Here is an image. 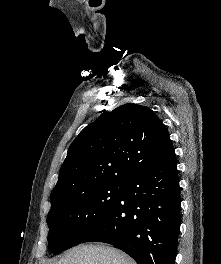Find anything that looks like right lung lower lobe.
Wrapping results in <instances>:
<instances>
[{
    "label": "right lung lower lobe",
    "mask_w": 221,
    "mask_h": 264,
    "mask_svg": "<svg viewBox=\"0 0 221 264\" xmlns=\"http://www.w3.org/2000/svg\"><path fill=\"white\" fill-rule=\"evenodd\" d=\"M180 204L173 156L127 178L115 207L81 243L111 244L138 264H175Z\"/></svg>",
    "instance_id": "right-lung-lower-lobe-1"
}]
</instances>
